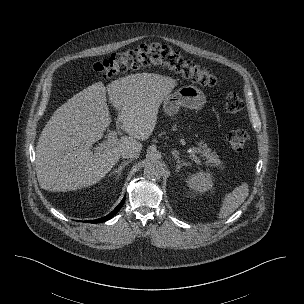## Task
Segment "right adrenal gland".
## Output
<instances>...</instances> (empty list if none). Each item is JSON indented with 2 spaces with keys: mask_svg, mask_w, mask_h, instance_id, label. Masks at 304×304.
<instances>
[{
  "mask_svg": "<svg viewBox=\"0 0 304 304\" xmlns=\"http://www.w3.org/2000/svg\"><path fill=\"white\" fill-rule=\"evenodd\" d=\"M131 162V160H127L122 162L118 168H116L113 172H111V174H117V178H119V176H121L122 170L125 168L126 165H128Z\"/></svg>",
  "mask_w": 304,
  "mask_h": 304,
  "instance_id": "1",
  "label": "right adrenal gland"
}]
</instances>
